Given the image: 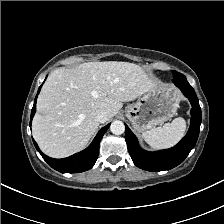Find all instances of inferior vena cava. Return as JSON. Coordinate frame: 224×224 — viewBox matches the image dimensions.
Masks as SVG:
<instances>
[{"label":"inferior vena cava","instance_id":"obj_1","mask_svg":"<svg viewBox=\"0 0 224 224\" xmlns=\"http://www.w3.org/2000/svg\"><path fill=\"white\" fill-rule=\"evenodd\" d=\"M96 119L99 123H105L108 120V112L106 110L99 111Z\"/></svg>","mask_w":224,"mask_h":224}]
</instances>
